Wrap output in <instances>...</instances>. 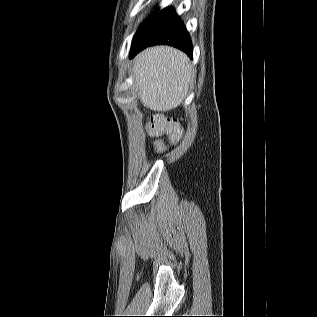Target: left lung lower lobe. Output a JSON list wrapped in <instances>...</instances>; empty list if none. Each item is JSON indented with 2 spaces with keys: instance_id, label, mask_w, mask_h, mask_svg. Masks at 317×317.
Returning <instances> with one entry per match:
<instances>
[{
  "instance_id": "left-lung-lower-lobe-1",
  "label": "left lung lower lobe",
  "mask_w": 317,
  "mask_h": 317,
  "mask_svg": "<svg viewBox=\"0 0 317 317\" xmlns=\"http://www.w3.org/2000/svg\"><path fill=\"white\" fill-rule=\"evenodd\" d=\"M160 44L176 47L192 59L190 36L172 8L157 12L134 36L129 57L133 58L141 50Z\"/></svg>"
}]
</instances>
